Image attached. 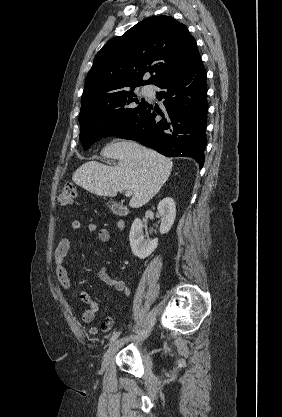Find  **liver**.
Instances as JSON below:
<instances>
[{
	"mask_svg": "<svg viewBox=\"0 0 282 417\" xmlns=\"http://www.w3.org/2000/svg\"><path fill=\"white\" fill-rule=\"evenodd\" d=\"M107 158H117L116 166L88 160L72 174V180L98 196H116L120 190H132V209L146 204L159 192L171 174L173 162L156 150L134 140L110 142L104 150Z\"/></svg>",
	"mask_w": 282,
	"mask_h": 417,
	"instance_id": "6515ba94",
	"label": "liver"
}]
</instances>
